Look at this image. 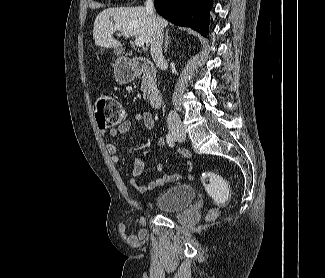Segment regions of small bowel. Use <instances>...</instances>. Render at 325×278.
<instances>
[{"label": "small bowel", "mask_w": 325, "mask_h": 278, "mask_svg": "<svg viewBox=\"0 0 325 278\" xmlns=\"http://www.w3.org/2000/svg\"><path fill=\"white\" fill-rule=\"evenodd\" d=\"M135 121L142 123L147 130H153L155 126V121L150 112L144 111L135 114ZM132 128V122L126 120L122 122L118 127L107 130H101L102 135L104 136H121L128 133ZM158 146L164 147L166 145V140L164 138H159L157 141ZM107 152L111 156V160L114 164H119L121 162V157L118 154V147L115 143H108L106 146ZM177 152L185 158H190V153L186 149H178ZM144 168L143 160L140 157H135L132 178L130 179V185L139 192L147 193L156 188L162 187L166 183L178 181L181 176L179 174H163L158 178L150 181L148 184H142L137 177L142 173ZM158 171H162V166H157ZM192 178L191 175L188 176Z\"/></svg>", "instance_id": "c3829d8e"}]
</instances>
